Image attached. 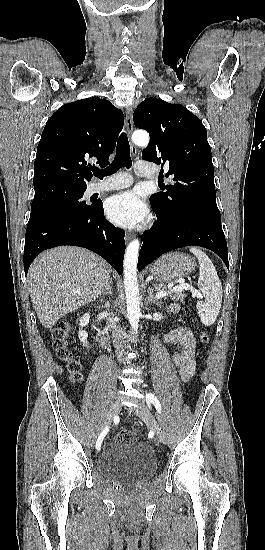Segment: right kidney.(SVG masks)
I'll use <instances>...</instances> for the list:
<instances>
[{"mask_svg":"<svg viewBox=\"0 0 265 550\" xmlns=\"http://www.w3.org/2000/svg\"><path fill=\"white\" fill-rule=\"evenodd\" d=\"M89 319H90V315L89 313H86L79 320V326L81 327V330L79 331V339L83 343V346L87 348L89 347L88 346L89 343L87 342L88 333L85 330H82V328L88 325Z\"/></svg>","mask_w":265,"mask_h":550,"instance_id":"1","label":"right kidney"}]
</instances>
